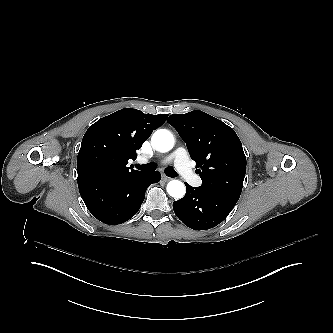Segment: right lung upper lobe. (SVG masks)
<instances>
[{
  "mask_svg": "<svg viewBox=\"0 0 333 333\" xmlns=\"http://www.w3.org/2000/svg\"><path fill=\"white\" fill-rule=\"evenodd\" d=\"M167 117L125 108L99 119L83 137L77 157L78 179L119 177L135 172L127 167L128 160L136 159V150Z\"/></svg>",
  "mask_w": 333,
  "mask_h": 333,
  "instance_id": "1",
  "label": "right lung upper lobe"
}]
</instances>
